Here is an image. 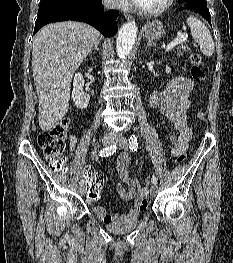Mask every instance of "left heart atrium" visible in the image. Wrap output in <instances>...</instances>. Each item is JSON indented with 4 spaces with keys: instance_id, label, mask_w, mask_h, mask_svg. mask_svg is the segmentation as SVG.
I'll return each mask as SVG.
<instances>
[{
    "instance_id": "39dd6f15",
    "label": "left heart atrium",
    "mask_w": 233,
    "mask_h": 263,
    "mask_svg": "<svg viewBox=\"0 0 233 263\" xmlns=\"http://www.w3.org/2000/svg\"><path fill=\"white\" fill-rule=\"evenodd\" d=\"M131 1L136 3L138 0H131Z\"/></svg>"
}]
</instances>
